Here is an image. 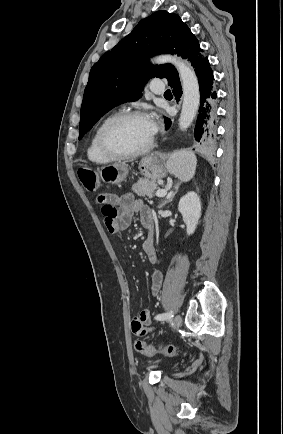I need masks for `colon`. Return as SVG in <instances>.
Here are the masks:
<instances>
[{"label":"colon","mask_w":283,"mask_h":434,"mask_svg":"<svg viewBox=\"0 0 283 434\" xmlns=\"http://www.w3.org/2000/svg\"><path fill=\"white\" fill-rule=\"evenodd\" d=\"M78 176L84 188L88 191H94L98 186V176L95 170L82 167L78 170ZM135 350L145 356L152 357L157 353H162L167 356H174L176 354L175 348L171 345L162 349H156L153 346L147 345L144 341L138 340L135 342Z\"/></svg>","instance_id":"1"}]
</instances>
